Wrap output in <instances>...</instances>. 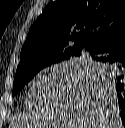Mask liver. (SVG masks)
Segmentation results:
<instances>
[{"label":"liver","instance_id":"1","mask_svg":"<svg viewBox=\"0 0 125 128\" xmlns=\"http://www.w3.org/2000/svg\"><path fill=\"white\" fill-rule=\"evenodd\" d=\"M115 99L108 82L64 62L32 85L25 99L27 111L14 127L123 128Z\"/></svg>","mask_w":125,"mask_h":128}]
</instances>
